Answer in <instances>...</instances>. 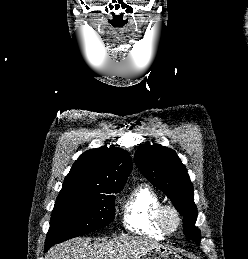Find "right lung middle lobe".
Masks as SVG:
<instances>
[{
	"label": "right lung middle lobe",
	"instance_id": "obj_1",
	"mask_svg": "<svg viewBox=\"0 0 248 259\" xmlns=\"http://www.w3.org/2000/svg\"><path fill=\"white\" fill-rule=\"evenodd\" d=\"M121 190L62 188L52 212L46 243L53 245L110 224L115 216L112 193Z\"/></svg>",
	"mask_w": 248,
	"mask_h": 259
}]
</instances>
